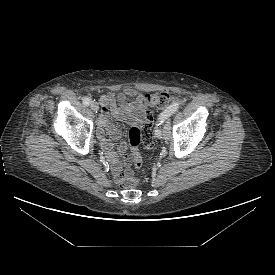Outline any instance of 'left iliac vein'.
<instances>
[{
	"mask_svg": "<svg viewBox=\"0 0 275 275\" xmlns=\"http://www.w3.org/2000/svg\"><path fill=\"white\" fill-rule=\"evenodd\" d=\"M171 135V126H170V123L169 121H167L164 125V129H163V132H162V137L167 140L169 139Z\"/></svg>",
	"mask_w": 275,
	"mask_h": 275,
	"instance_id": "obj_1",
	"label": "left iliac vein"
}]
</instances>
